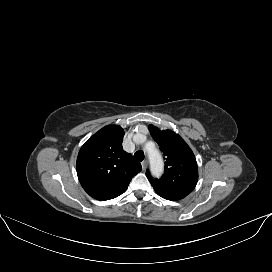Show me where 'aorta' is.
<instances>
[{
	"instance_id": "aorta-1",
	"label": "aorta",
	"mask_w": 272,
	"mask_h": 272,
	"mask_svg": "<svg viewBox=\"0 0 272 272\" xmlns=\"http://www.w3.org/2000/svg\"><path fill=\"white\" fill-rule=\"evenodd\" d=\"M146 152L150 162L151 173L156 177L161 176L164 169V164L160 152L155 148L154 145H147Z\"/></svg>"
}]
</instances>
